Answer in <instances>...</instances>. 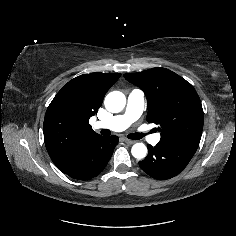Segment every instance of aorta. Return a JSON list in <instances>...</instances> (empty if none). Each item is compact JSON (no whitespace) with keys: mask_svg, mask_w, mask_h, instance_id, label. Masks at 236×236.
I'll use <instances>...</instances> for the list:
<instances>
[{"mask_svg":"<svg viewBox=\"0 0 236 236\" xmlns=\"http://www.w3.org/2000/svg\"><path fill=\"white\" fill-rule=\"evenodd\" d=\"M104 104L109 112L118 113L125 107L126 97L120 91H113L107 94ZM131 153L134 158L143 159L147 155V147L143 143H136L132 146Z\"/></svg>","mask_w":236,"mask_h":236,"instance_id":"aorta-1","label":"aorta"}]
</instances>
